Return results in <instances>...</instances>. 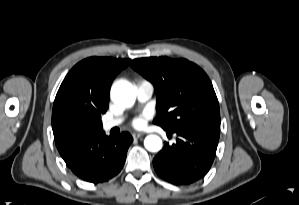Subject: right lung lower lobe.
<instances>
[{"mask_svg": "<svg viewBox=\"0 0 299 205\" xmlns=\"http://www.w3.org/2000/svg\"><path fill=\"white\" fill-rule=\"evenodd\" d=\"M132 141L127 132L112 138L101 131L85 138L63 159L80 179L92 183L106 182L122 170Z\"/></svg>", "mask_w": 299, "mask_h": 205, "instance_id": "98d812e1", "label": "right lung lower lobe"}]
</instances>
